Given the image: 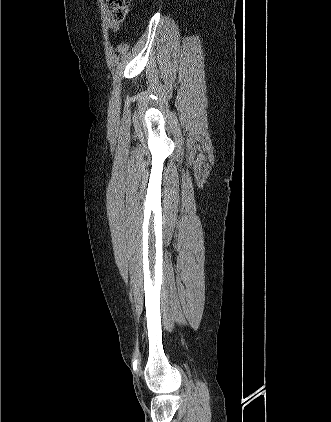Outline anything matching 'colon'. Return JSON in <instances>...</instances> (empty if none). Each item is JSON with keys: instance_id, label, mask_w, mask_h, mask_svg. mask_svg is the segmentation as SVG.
<instances>
[{"instance_id": "obj_1", "label": "colon", "mask_w": 331, "mask_h": 422, "mask_svg": "<svg viewBox=\"0 0 331 422\" xmlns=\"http://www.w3.org/2000/svg\"><path fill=\"white\" fill-rule=\"evenodd\" d=\"M131 0H107L111 19L114 22H122L129 11Z\"/></svg>"}]
</instances>
